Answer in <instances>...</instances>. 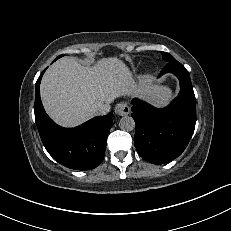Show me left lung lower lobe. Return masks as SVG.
<instances>
[{"label": "left lung lower lobe", "mask_w": 231, "mask_h": 231, "mask_svg": "<svg viewBox=\"0 0 231 231\" xmlns=\"http://www.w3.org/2000/svg\"><path fill=\"white\" fill-rule=\"evenodd\" d=\"M167 72L177 76L181 88L168 107L157 109L138 99L131 102L136 149L142 158L153 164H163L181 155L196 123L195 95L188 71L175 60L169 62L160 75Z\"/></svg>", "instance_id": "obj_1"}]
</instances>
